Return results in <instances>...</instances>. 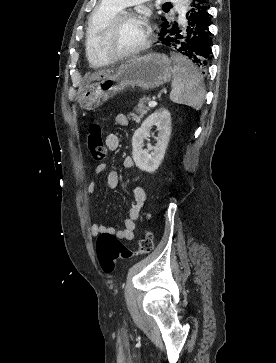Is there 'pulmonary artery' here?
<instances>
[{"label":"pulmonary artery","mask_w":276,"mask_h":363,"mask_svg":"<svg viewBox=\"0 0 276 363\" xmlns=\"http://www.w3.org/2000/svg\"><path fill=\"white\" fill-rule=\"evenodd\" d=\"M110 1L114 2L120 8H124V7L131 6L133 4L141 3L145 0H110ZM159 1L167 2L169 0H159ZM177 1H178L177 5L184 3V0H177Z\"/></svg>","instance_id":"pulmonary-artery-1"}]
</instances>
